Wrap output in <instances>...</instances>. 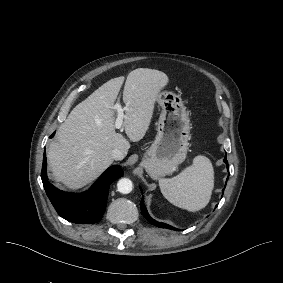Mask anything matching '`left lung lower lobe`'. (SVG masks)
I'll list each match as a JSON object with an SVG mask.
<instances>
[{
    "label": "left lung lower lobe",
    "mask_w": 283,
    "mask_h": 283,
    "mask_svg": "<svg viewBox=\"0 0 283 283\" xmlns=\"http://www.w3.org/2000/svg\"><path fill=\"white\" fill-rule=\"evenodd\" d=\"M224 162L226 163L227 165V169L229 171V165H228V162H227V158L225 156L224 158ZM141 189V188H140ZM142 190V189H141ZM224 192V190H223ZM140 207H141V213L142 215L144 216V218L152 225L156 226V227H160V228H166V229H171V230H177L175 229L174 227L168 225V224H165V223H162V222H158L156 220H154L147 212L146 210V207L144 205V199H143V196H142V200L140 202Z\"/></svg>",
    "instance_id": "0a47b994"
}]
</instances>
